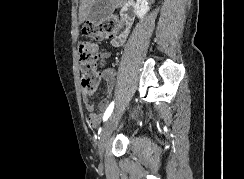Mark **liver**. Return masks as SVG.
Wrapping results in <instances>:
<instances>
[{
  "mask_svg": "<svg viewBox=\"0 0 244 179\" xmlns=\"http://www.w3.org/2000/svg\"><path fill=\"white\" fill-rule=\"evenodd\" d=\"M80 2L81 4L79 8V24H83V22L87 20L95 0H80ZM111 2L114 8H121L125 0H111Z\"/></svg>",
  "mask_w": 244,
  "mask_h": 179,
  "instance_id": "obj_1",
  "label": "liver"
}]
</instances>
